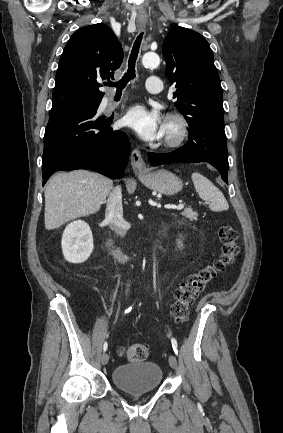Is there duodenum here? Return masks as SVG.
Here are the masks:
<instances>
[{"label":"duodenum","instance_id":"410a0bca","mask_svg":"<svg viewBox=\"0 0 283 433\" xmlns=\"http://www.w3.org/2000/svg\"><path fill=\"white\" fill-rule=\"evenodd\" d=\"M160 241V233L156 239V242L154 244V246H158ZM105 249L106 251L118 262L124 263L127 262L131 256H129L128 254H126L124 251H122L120 248H118L113 240L108 239L105 243Z\"/></svg>","mask_w":283,"mask_h":433}]
</instances>
